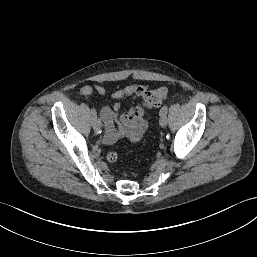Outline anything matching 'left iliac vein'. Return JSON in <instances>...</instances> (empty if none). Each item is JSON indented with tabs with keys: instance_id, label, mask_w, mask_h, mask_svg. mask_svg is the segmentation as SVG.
I'll return each mask as SVG.
<instances>
[{
	"instance_id": "1",
	"label": "left iliac vein",
	"mask_w": 257,
	"mask_h": 257,
	"mask_svg": "<svg viewBox=\"0 0 257 257\" xmlns=\"http://www.w3.org/2000/svg\"><path fill=\"white\" fill-rule=\"evenodd\" d=\"M159 124H160L161 127H166V125H167V117H166V115L160 116Z\"/></svg>"
}]
</instances>
